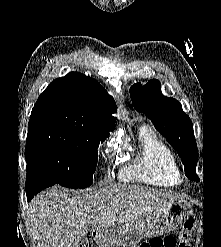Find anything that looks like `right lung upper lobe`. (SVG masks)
<instances>
[{
    "label": "right lung upper lobe",
    "instance_id": "obj_1",
    "mask_svg": "<svg viewBox=\"0 0 221 247\" xmlns=\"http://www.w3.org/2000/svg\"><path fill=\"white\" fill-rule=\"evenodd\" d=\"M116 105L95 79L77 72L55 79L39 96L29 129L66 128L106 138L115 128Z\"/></svg>",
    "mask_w": 221,
    "mask_h": 247
}]
</instances>
